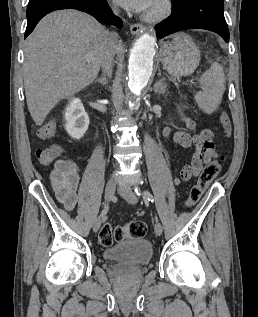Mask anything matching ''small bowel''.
<instances>
[{"label": "small bowel", "instance_id": "small-bowel-1", "mask_svg": "<svg viewBox=\"0 0 258 317\" xmlns=\"http://www.w3.org/2000/svg\"><path fill=\"white\" fill-rule=\"evenodd\" d=\"M183 122L190 133L179 131L172 135L169 127H165L162 132L164 139L172 140L178 148H195L191 163L185 165L180 171V176L175 178L176 185L198 176L203 166L217 156L213 132L210 129L197 132L196 124L190 118L183 117ZM54 132L55 125L52 121H49L38 129L37 134L42 140H47L54 135ZM51 182L59 202L68 211H72L78 202L80 175L77 164L68 159L57 160L51 173Z\"/></svg>", "mask_w": 258, "mask_h": 317}]
</instances>
